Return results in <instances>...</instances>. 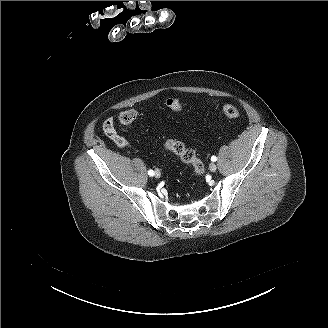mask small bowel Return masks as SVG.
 Listing matches in <instances>:
<instances>
[{
	"mask_svg": "<svg viewBox=\"0 0 328 328\" xmlns=\"http://www.w3.org/2000/svg\"><path fill=\"white\" fill-rule=\"evenodd\" d=\"M103 128L107 133H108V128L113 130V131L115 130L114 129V122H113L112 118H108L104 121ZM112 137L115 140V142L121 147H124L128 144L124 139L118 137L117 135H114Z\"/></svg>",
	"mask_w": 328,
	"mask_h": 328,
	"instance_id": "obj_1",
	"label": "small bowel"
}]
</instances>
